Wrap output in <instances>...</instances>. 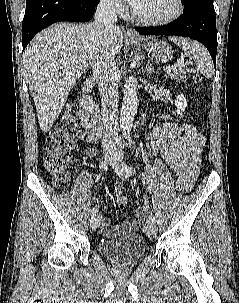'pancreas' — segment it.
Returning a JSON list of instances; mask_svg holds the SVG:
<instances>
[{
  "label": "pancreas",
  "mask_w": 239,
  "mask_h": 303,
  "mask_svg": "<svg viewBox=\"0 0 239 303\" xmlns=\"http://www.w3.org/2000/svg\"><path fill=\"white\" fill-rule=\"evenodd\" d=\"M187 72H189V69L185 65H181L180 67L174 69L172 72L167 73V76L175 79L178 82H185L187 80Z\"/></svg>",
  "instance_id": "pancreas-1"
}]
</instances>
